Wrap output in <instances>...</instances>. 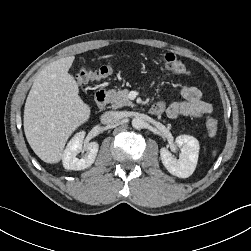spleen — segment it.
<instances>
[{"label":"spleen","instance_id":"obj_1","mask_svg":"<svg viewBox=\"0 0 251 251\" xmlns=\"http://www.w3.org/2000/svg\"><path fill=\"white\" fill-rule=\"evenodd\" d=\"M216 153H217V151H216V150H214V151L212 152V155H213V156H215V155H216Z\"/></svg>","mask_w":251,"mask_h":251}]
</instances>
